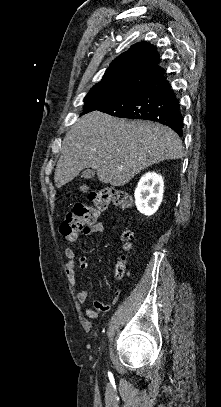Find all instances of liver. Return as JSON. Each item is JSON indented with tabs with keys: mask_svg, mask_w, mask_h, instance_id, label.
Returning a JSON list of instances; mask_svg holds the SVG:
<instances>
[{
	"mask_svg": "<svg viewBox=\"0 0 221 407\" xmlns=\"http://www.w3.org/2000/svg\"><path fill=\"white\" fill-rule=\"evenodd\" d=\"M60 152L54 172L57 188L85 168H93L102 183L124 186L141 170L184 155L180 137L169 127L99 111L84 115L71 126Z\"/></svg>",
	"mask_w": 221,
	"mask_h": 407,
	"instance_id": "6515ba94",
	"label": "liver"
}]
</instances>
